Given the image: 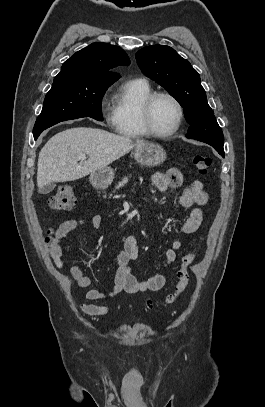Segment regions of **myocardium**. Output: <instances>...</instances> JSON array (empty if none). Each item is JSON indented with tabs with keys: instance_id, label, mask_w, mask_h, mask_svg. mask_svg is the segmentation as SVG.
Returning <instances> with one entry per match:
<instances>
[{
	"instance_id": "f54148a6",
	"label": "myocardium",
	"mask_w": 265,
	"mask_h": 407,
	"mask_svg": "<svg viewBox=\"0 0 265 407\" xmlns=\"http://www.w3.org/2000/svg\"><path fill=\"white\" fill-rule=\"evenodd\" d=\"M159 97H167L169 99H171L177 109H178V119L176 124L174 125V127L168 131L162 132L157 130L152 122V108L154 105V102L156 101V99H158ZM184 107L181 103V101L172 93L167 92V91H159V92H154L151 95H149L147 97V99L144 101V103L142 104L141 107V121L142 124L144 126V128L146 129V131L148 132L149 135L154 136V137H158V138H167L170 137L172 135H174L181 127L182 122L184 120Z\"/></svg>"
}]
</instances>
